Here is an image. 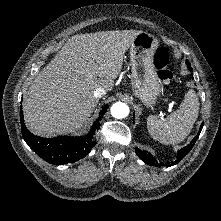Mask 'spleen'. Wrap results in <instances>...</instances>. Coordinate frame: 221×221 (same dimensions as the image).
<instances>
[{"instance_id": "spleen-1", "label": "spleen", "mask_w": 221, "mask_h": 221, "mask_svg": "<svg viewBox=\"0 0 221 221\" xmlns=\"http://www.w3.org/2000/svg\"><path fill=\"white\" fill-rule=\"evenodd\" d=\"M199 100L194 90H189L178 110L165 119L150 115L147 118V128L153 139L161 144H176L182 142L191 132L198 117Z\"/></svg>"}]
</instances>
